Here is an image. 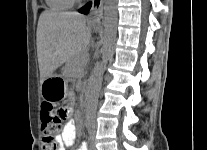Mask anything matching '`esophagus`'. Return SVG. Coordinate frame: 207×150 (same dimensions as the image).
Masks as SVG:
<instances>
[{"label": "esophagus", "mask_w": 207, "mask_h": 150, "mask_svg": "<svg viewBox=\"0 0 207 150\" xmlns=\"http://www.w3.org/2000/svg\"><path fill=\"white\" fill-rule=\"evenodd\" d=\"M104 0H92V6L88 15V21L92 24L99 23V17L103 9Z\"/></svg>", "instance_id": "esophagus-1"}]
</instances>
